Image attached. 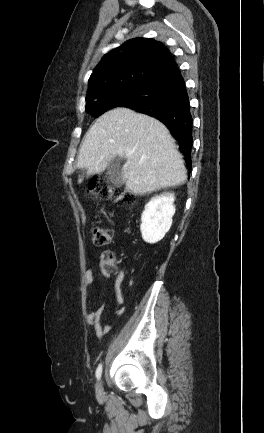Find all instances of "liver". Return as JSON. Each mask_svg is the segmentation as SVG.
<instances>
[{
	"mask_svg": "<svg viewBox=\"0 0 264 433\" xmlns=\"http://www.w3.org/2000/svg\"><path fill=\"white\" fill-rule=\"evenodd\" d=\"M116 156L125 157L122 181L135 195L183 184L187 171L168 129L158 120L127 108L100 116L80 146L77 167L103 172ZM83 181L79 176L78 183Z\"/></svg>",
	"mask_w": 264,
	"mask_h": 433,
	"instance_id": "6515ba94",
	"label": "liver"
}]
</instances>
